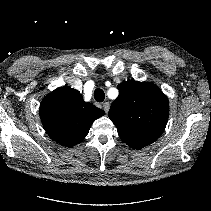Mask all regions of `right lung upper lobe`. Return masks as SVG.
Masks as SVG:
<instances>
[{
    "instance_id": "1",
    "label": "right lung upper lobe",
    "mask_w": 211,
    "mask_h": 211,
    "mask_svg": "<svg viewBox=\"0 0 211 211\" xmlns=\"http://www.w3.org/2000/svg\"><path fill=\"white\" fill-rule=\"evenodd\" d=\"M39 114L46 133L54 141L73 147L86 137L94 120L104 111L85 102L76 89L64 86L44 97Z\"/></svg>"
}]
</instances>
